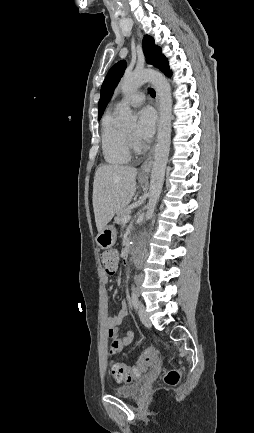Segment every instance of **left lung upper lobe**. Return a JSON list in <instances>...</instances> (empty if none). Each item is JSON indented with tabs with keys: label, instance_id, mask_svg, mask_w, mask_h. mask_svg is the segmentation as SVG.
Returning <instances> with one entry per match:
<instances>
[{
	"label": "left lung upper lobe",
	"instance_id": "1",
	"mask_svg": "<svg viewBox=\"0 0 254 433\" xmlns=\"http://www.w3.org/2000/svg\"><path fill=\"white\" fill-rule=\"evenodd\" d=\"M143 49L146 55L147 62L158 67L162 72L168 67V62L165 56L161 54V49L155 45L154 39L150 36L143 38ZM126 68L124 60L116 63L108 71L107 76L101 87V96L98 103V118L100 119L108 101L113 95L114 89L122 77Z\"/></svg>",
	"mask_w": 254,
	"mask_h": 433
}]
</instances>
